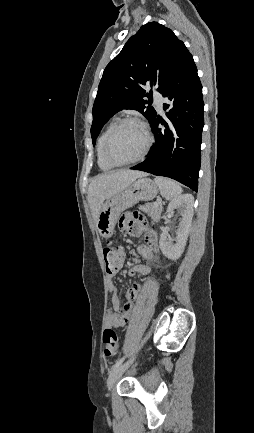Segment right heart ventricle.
<instances>
[{"label":"right heart ventricle","instance_id":"right-heart-ventricle-1","mask_svg":"<svg viewBox=\"0 0 254 433\" xmlns=\"http://www.w3.org/2000/svg\"><path fill=\"white\" fill-rule=\"evenodd\" d=\"M117 122H118V119H113L109 124H108V126L106 127V129L103 131V133L100 135V137H99V139H98V142H97V149H96V151H97V163H98V166H99V168L101 169V170H103V171H109V170H111L112 168H113V166L112 165H110L108 162H106L105 160H104V158H103V155H102V149H103V144H104V141H105V139H106V137H107V135H108V133L111 131V129L117 124Z\"/></svg>","mask_w":254,"mask_h":433}]
</instances>
